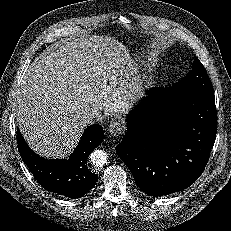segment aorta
I'll list each match as a JSON object with an SVG mask.
<instances>
[{"mask_svg":"<svg viewBox=\"0 0 231 231\" xmlns=\"http://www.w3.org/2000/svg\"><path fill=\"white\" fill-rule=\"evenodd\" d=\"M90 161L94 166L102 167L107 163V154L103 150H95L90 154Z\"/></svg>","mask_w":231,"mask_h":231,"instance_id":"1","label":"aorta"}]
</instances>
